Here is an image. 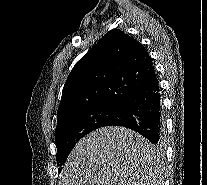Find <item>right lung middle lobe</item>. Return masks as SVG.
<instances>
[{
	"label": "right lung middle lobe",
	"instance_id": "1",
	"mask_svg": "<svg viewBox=\"0 0 207 185\" xmlns=\"http://www.w3.org/2000/svg\"><path fill=\"white\" fill-rule=\"evenodd\" d=\"M121 105L102 104L85 109L57 122L55 142L57 147L56 161L62 166L75 144L91 131L106 126L116 118ZM61 168H59V172Z\"/></svg>",
	"mask_w": 207,
	"mask_h": 185
}]
</instances>
